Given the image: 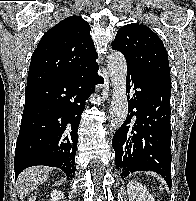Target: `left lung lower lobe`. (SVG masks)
Segmentation results:
<instances>
[{
  "mask_svg": "<svg viewBox=\"0 0 196 201\" xmlns=\"http://www.w3.org/2000/svg\"><path fill=\"white\" fill-rule=\"evenodd\" d=\"M128 115L113 136L116 168L121 177L130 172L154 171L171 180L170 90L127 70Z\"/></svg>",
  "mask_w": 196,
  "mask_h": 201,
  "instance_id": "0a47b994",
  "label": "left lung lower lobe"
}]
</instances>
